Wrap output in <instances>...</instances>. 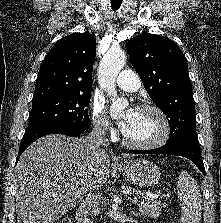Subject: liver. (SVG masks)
I'll list each match as a JSON object with an SVG mask.
<instances>
[{"label":"liver","mask_w":221,"mask_h":223,"mask_svg":"<svg viewBox=\"0 0 221 223\" xmlns=\"http://www.w3.org/2000/svg\"><path fill=\"white\" fill-rule=\"evenodd\" d=\"M86 139L49 135L23 152L15 170L18 223H54L107 182L109 155L101 150L97 158Z\"/></svg>","instance_id":"1"}]
</instances>
